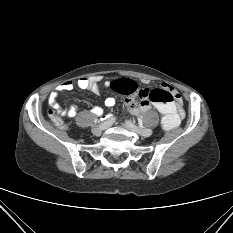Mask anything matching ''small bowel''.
Here are the masks:
<instances>
[{
	"label": "small bowel",
	"instance_id": "1",
	"mask_svg": "<svg viewBox=\"0 0 233 233\" xmlns=\"http://www.w3.org/2000/svg\"><path fill=\"white\" fill-rule=\"evenodd\" d=\"M101 80V76H94V77H83L80 78L76 85L78 88L83 89V90H88L91 91L94 94H99V85L98 82ZM111 84L110 82L106 81L105 86L109 87ZM74 87V83L72 81H65L59 85H57L52 92L50 93L49 96V105L54 108L58 113L60 112V107L57 101L58 94L60 92L64 91H70ZM162 88L170 91L174 97V105L176 110L178 111L179 115L183 116L184 111H183V102L181 96L178 94L175 88H173L169 84H163ZM116 104V100L114 97H107L105 99V105L107 107H114ZM125 106L131 112L132 114H139L142 113L150 108V102L148 101H140L137 102L134 98H128L125 100ZM78 110V106L73 104L71 105L67 110H65V114L69 118H73L76 116ZM91 113H93L96 116H103L104 115V110L101 107L94 106L91 108ZM111 116H107V120Z\"/></svg>",
	"mask_w": 233,
	"mask_h": 233
}]
</instances>
